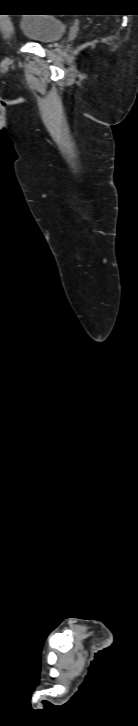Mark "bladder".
Listing matches in <instances>:
<instances>
[{
	"instance_id": "31cf9c89",
	"label": "bladder",
	"mask_w": 138,
	"mask_h": 726,
	"mask_svg": "<svg viewBox=\"0 0 138 726\" xmlns=\"http://www.w3.org/2000/svg\"><path fill=\"white\" fill-rule=\"evenodd\" d=\"M19 28L24 36L41 43L56 41L66 32L65 22L50 14H27Z\"/></svg>"
}]
</instances>
